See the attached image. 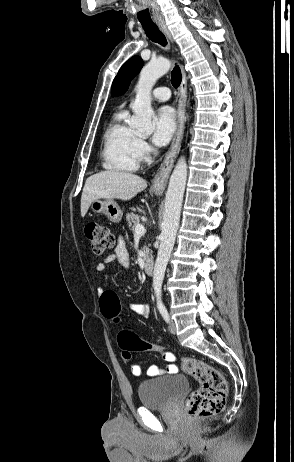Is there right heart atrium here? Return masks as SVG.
<instances>
[{"mask_svg":"<svg viewBox=\"0 0 294 462\" xmlns=\"http://www.w3.org/2000/svg\"><path fill=\"white\" fill-rule=\"evenodd\" d=\"M136 151L139 161H147L151 156L152 148L146 139L138 137L136 143Z\"/></svg>","mask_w":294,"mask_h":462,"instance_id":"d8ad5b80","label":"right heart atrium"}]
</instances>
